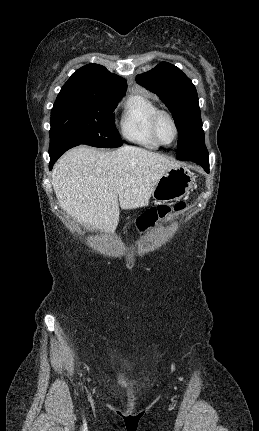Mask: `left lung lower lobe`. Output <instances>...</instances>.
<instances>
[{"instance_id":"obj_1","label":"left lung lower lobe","mask_w":259,"mask_h":431,"mask_svg":"<svg viewBox=\"0 0 259 431\" xmlns=\"http://www.w3.org/2000/svg\"><path fill=\"white\" fill-rule=\"evenodd\" d=\"M190 161H193V162L201 165L206 172H209V157L208 156H205L202 158H195V159H192Z\"/></svg>"}]
</instances>
